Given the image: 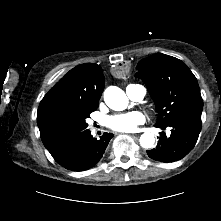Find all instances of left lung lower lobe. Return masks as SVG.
<instances>
[{
  "mask_svg": "<svg viewBox=\"0 0 221 221\" xmlns=\"http://www.w3.org/2000/svg\"><path fill=\"white\" fill-rule=\"evenodd\" d=\"M202 112H194L171 119L166 125H156L163 130L171 127L170 137L161 133L157 147L147 151L150 158L164 162H175L186 156L195 146L201 131Z\"/></svg>",
  "mask_w": 221,
  "mask_h": 221,
  "instance_id": "obj_1",
  "label": "left lung lower lobe"
}]
</instances>
